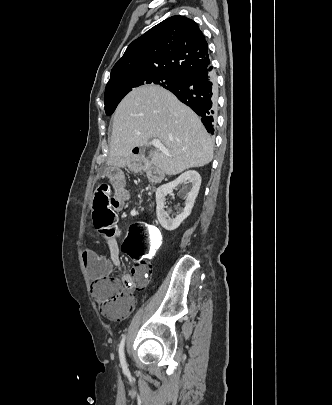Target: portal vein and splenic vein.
Here are the masks:
<instances>
[{
    "label": "portal vein and splenic vein",
    "instance_id": "18ae733b",
    "mask_svg": "<svg viewBox=\"0 0 332 405\" xmlns=\"http://www.w3.org/2000/svg\"><path fill=\"white\" fill-rule=\"evenodd\" d=\"M152 145L157 148L159 151H161L162 153L166 154V155H170L168 150L163 146V144L160 142L159 139H153L151 141Z\"/></svg>",
    "mask_w": 332,
    "mask_h": 405
}]
</instances>
